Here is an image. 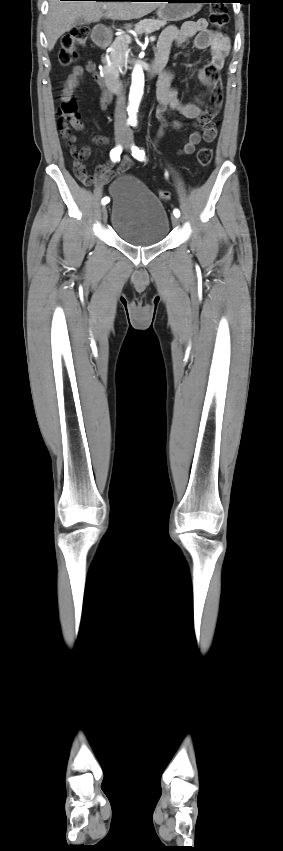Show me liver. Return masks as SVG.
Listing matches in <instances>:
<instances>
[{
	"instance_id": "liver-1",
	"label": "liver",
	"mask_w": 283,
	"mask_h": 851,
	"mask_svg": "<svg viewBox=\"0 0 283 851\" xmlns=\"http://www.w3.org/2000/svg\"><path fill=\"white\" fill-rule=\"evenodd\" d=\"M160 6L161 2L51 0L45 20L48 49L54 48L57 40L74 26L77 18L88 22H98L102 17L117 20L139 19ZM102 9L106 12L103 13Z\"/></svg>"
}]
</instances>
